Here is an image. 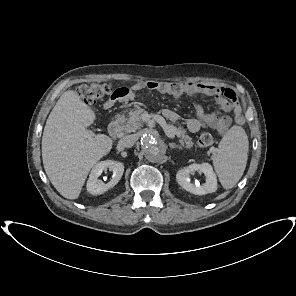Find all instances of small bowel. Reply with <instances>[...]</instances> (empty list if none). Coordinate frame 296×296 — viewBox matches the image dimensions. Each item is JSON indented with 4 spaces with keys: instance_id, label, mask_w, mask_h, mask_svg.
<instances>
[{
    "instance_id": "small-bowel-1",
    "label": "small bowel",
    "mask_w": 296,
    "mask_h": 296,
    "mask_svg": "<svg viewBox=\"0 0 296 296\" xmlns=\"http://www.w3.org/2000/svg\"><path fill=\"white\" fill-rule=\"evenodd\" d=\"M143 89L155 90L175 98L183 95H207L215 97L218 111L207 114L202 109H199L195 117L187 120V128L192 133L198 132L202 127H209L217 130L219 133H224L234 122L238 124L243 122L241 107L233 89L226 86H216L192 81L183 83L158 81L137 82L129 89L126 88V93L123 96H111L105 103V106L110 107L118 101H133L136 98L137 92ZM163 114L169 120L175 121L178 119L177 113L170 109H165Z\"/></svg>"
}]
</instances>
